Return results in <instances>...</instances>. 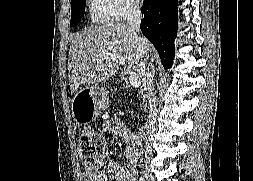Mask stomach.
I'll list each match as a JSON object with an SVG mask.
<instances>
[{
    "label": "stomach",
    "instance_id": "stomach-1",
    "mask_svg": "<svg viewBox=\"0 0 253 181\" xmlns=\"http://www.w3.org/2000/svg\"><path fill=\"white\" fill-rule=\"evenodd\" d=\"M107 106L108 96L102 86L96 84L87 87L81 90L73 100L74 119L79 123H87L103 113Z\"/></svg>",
    "mask_w": 253,
    "mask_h": 181
}]
</instances>
